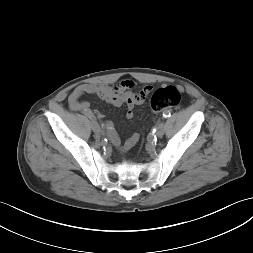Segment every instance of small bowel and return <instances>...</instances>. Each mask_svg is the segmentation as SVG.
Here are the masks:
<instances>
[{
  "label": "small bowel",
  "mask_w": 253,
  "mask_h": 253,
  "mask_svg": "<svg viewBox=\"0 0 253 253\" xmlns=\"http://www.w3.org/2000/svg\"><path fill=\"white\" fill-rule=\"evenodd\" d=\"M134 87L133 81L122 80L117 85L107 84H81L77 86L68 97L69 108L75 112H81L83 114L92 113L90 104L87 101L81 100L84 94H95L102 100L114 106H121L126 104L128 109L126 117L131 119L134 115L133 107L135 105L142 104L147 95L152 91V86H144L139 92L134 93L132 89ZM93 114V113H92ZM99 118H102V114H98ZM106 126L110 127L111 123L107 122ZM109 137L112 143L116 146H120V139L115 133H110ZM138 140V134H132L121 147L122 150L131 148Z\"/></svg>",
  "instance_id": "obj_1"
}]
</instances>
